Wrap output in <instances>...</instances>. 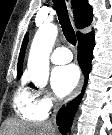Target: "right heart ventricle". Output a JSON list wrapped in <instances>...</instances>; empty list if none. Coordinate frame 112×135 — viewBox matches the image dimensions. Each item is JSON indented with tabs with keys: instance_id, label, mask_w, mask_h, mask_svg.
<instances>
[{
	"instance_id": "e07e8e85",
	"label": "right heart ventricle",
	"mask_w": 112,
	"mask_h": 135,
	"mask_svg": "<svg viewBox=\"0 0 112 135\" xmlns=\"http://www.w3.org/2000/svg\"><path fill=\"white\" fill-rule=\"evenodd\" d=\"M13 107L18 116L24 120L42 121L47 116V112L38 105L36 92L31 91L25 84L17 89Z\"/></svg>"
}]
</instances>
